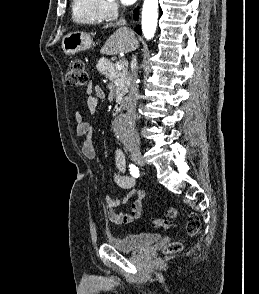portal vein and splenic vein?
I'll list each match as a JSON object with an SVG mask.
<instances>
[{
    "instance_id": "portal-vein-and-splenic-vein-1",
    "label": "portal vein and splenic vein",
    "mask_w": 259,
    "mask_h": 294,
    "mask_svg": "<svg viewBox=\"0 0 259 294\" xmlns=\"http://www.w3.org/2000/svg\"><path fill=\"white\" fill-rule=\"evenodd\" d=\"M124 68V63L122 61H118L116 63V69L117 70H122Z\"/></svg>"
}]
</instances>
